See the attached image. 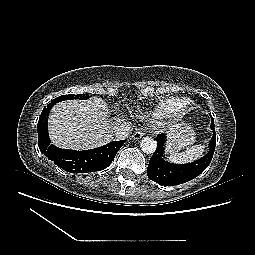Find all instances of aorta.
Returning <instances> with one entry per match:
<instances>
[{
	"label": "aorta",
	"mask_w": 255,
	"mask_h": 255,
	"mask_svg": "<svg viewBox=\"0 0 255 255\" xmlns=\"http://www.w3.org/2000/svg\"><path fill=\"white\" fill-rule=\"evenodd\" d=\"M140 148L144 153H154L157 148V142L152 137H144L140 142Z\"/></svg>",
	"instance_id": "762f6f07"
}]
</instances>
